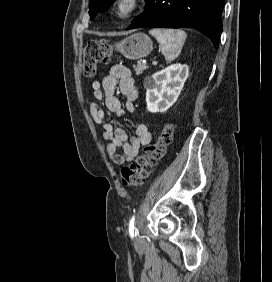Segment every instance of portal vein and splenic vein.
<instances>
[{"instance_id": "portal-vein-and-splenic-vein-1", "label": "portal vein and splenic vein", "mask_w": 272, "mask_h": 282, "mask_svg": "<svg viewBox=\"0 0 272 282\" xmlns=\"http://www.w3.org/2000/svg\"><path fill=\"white\" fill-rule=\"evenodd\" d=\"M152 64H153V65H156V64H157V61H153Z\"/></svg>"}]
</instances>
